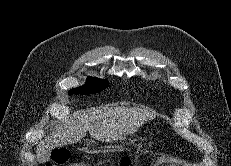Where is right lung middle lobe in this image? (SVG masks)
I'll use <instances>...</instances> for the list:
<instances>
[{
	"mask_svg": "<svg viewBox=\"0 0 231 166\" xmlns=\"http://www.w3.org/2000/svg\"><path fill=\"white\" fill-rule=\"evenodd\" d=\"M109 81L105 79H99L95 77H88L87 82L85 85L74 88L70 90L68 93L70 95L72 94H82V95H88L100 92L108 87Z\"/></svg>",
	"mask_w": 231,
	"mask_h": 166,
	"instance_id": "right-lung-middle-lobe-1",
	"label": "right lung middle lobe"
}]
</instances>
